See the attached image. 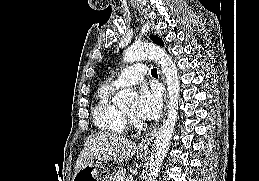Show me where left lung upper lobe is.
Returning <instances> with one entry per match:
<instances>
[{"mask_svg":"<svg viewBox=\"0 0 259 181\" xmlns=\"http://www.w3.org/2000/svg\"><path fill=\"white\" fill-rule=\"evenodd\" d=\"M150 38H151V40L154 41L156 44L164 45L163 41H162L160 38H158L157 36L151 35Z\"/></svg>","mask_w":259,"mask_h":181,"instance_id":"obj_1","label":"left lung upper lobe"}]
</instances>
